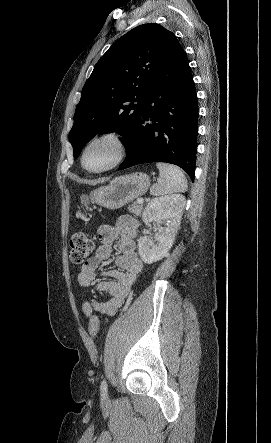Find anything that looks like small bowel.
Instances as JSON below:
<instances>
[{"instance_id":"1","label":"small bowel","mask_w":271,"mask_h":443,"mask_svg":"<svg viewBox=\"0 0 271 443\" xmlns=\"http://www.w3.org/2000/svg\"><path fill=\"white\" fill-rule=\"evenodd\" d=\"M137 230L138 222L130 216L121 217L116 225L105 224L98 229L101 244L94 256L81 268L78 282L81 286L88 287L98 275L108 277L109 280L96 284V290L108 294L109 298L105 301L90 299L84 302L82 310L87 318L95 312L112 317L123 305L132 284L143 269V262L135 247ZM114 243H117L119 250L116 259L118 269L100 271L101 264L111 257Z\"/></svg>"}]
</instances>
